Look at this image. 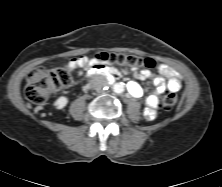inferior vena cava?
<instances>
[{"instance_id":"1","label":"inferior vena cava","mask_w":222,"mask_h":187,"mask_svg":"<svg viewBox=\"0 0 222 187\" xmlns=\"http://www.w3.org/2000/svg\"><path fill=\"white\" fill-rule=\"evenodd\" d=\"M108 82L105 77H100L95 83V89L98 93L103 92V88L107 86Z\"/></svg>"}]
</instances>
